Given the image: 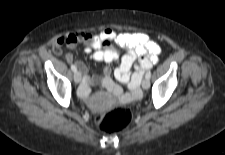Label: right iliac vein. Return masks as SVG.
<instances>
[{"mask_svg":"<svg viewBox=\"0 0 225 155\" xmlns=\"http://www.w3.org/2000/svg\"><path fill=\"white\" fill-rule=\"evenodd\" d=\"M74 81H75V83H80V81H81V74H80V72H78V71H76L75 73H74Z\"/></svg>","mask_w":225,"mask_h":155,"instance_id":"right-iliac-vein-1","label":"right iliac vein"}]
</instances>
